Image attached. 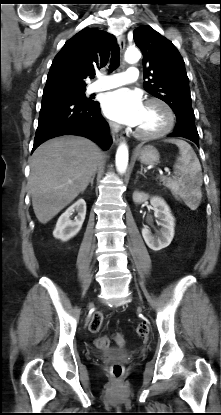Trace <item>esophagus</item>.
<instances>
[{
	"mask_svg": "<svg viewBox=\"0 0 221 415\" xmlns=\"http://www.w3.org/2000/svg\"><path fill=\"white\" fill-rule=\"evenodd\" d=\"M117 41H118V45L120 47L121 52H124L125 46H126V41H125L124 35L118 36ZM122 141H124V137L122 135H118V134L113 135V142L115 144H119Z\"/></svg>",
	"mask_w": 221,
	"mask_h": 415,
	"instance_id": "34e87169",
	"label": "esophagus"
}]
</instances>
